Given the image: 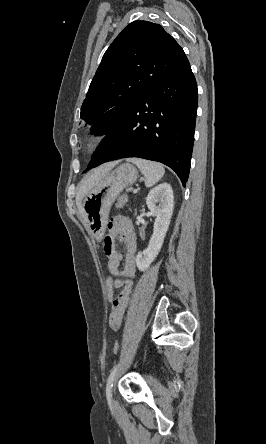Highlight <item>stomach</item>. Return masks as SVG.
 <instances>
[{
	"instance_id": "obj_1",
	"label": "stomach",
	"mask_w": 266,
	"mask_h": 444,
	"mask_svg": "<svg viewBox=\"0 0 266 444\" xmlns=\"http://www.w3.org/2000/svg\"><path fill=\"white\" fill-rule=\"evenodd\" d=\"M138 178V170L129 163L108 172L85 196L82 216L90 233L100 239L104 234L109 211L120 192Z\"/></svg>"
}]
</instances>
